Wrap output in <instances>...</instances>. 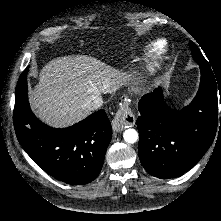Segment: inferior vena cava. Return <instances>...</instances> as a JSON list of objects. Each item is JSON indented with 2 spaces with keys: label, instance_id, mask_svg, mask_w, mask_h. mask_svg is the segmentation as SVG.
I'll return each mask as SVG.
<instances>
[{
  "label": "inferior vena cava",
  "instance_id": "inferior-vena-cava-1",
  "mask_svg": "<svg viewBox=\"0 0 221 221\" xmlns=\"http://www.w3.org/2000/svg\"><path fill=\"white\" fill-rule=\"evenodd\" d=\"M103 104V99L100 96V94L89 96L85 103L83 104L84 108L90 109V110H96L100 108Z\"/></svg>",
  "mask_w": 221,
  "mask_h": 221
}]
</instances>
